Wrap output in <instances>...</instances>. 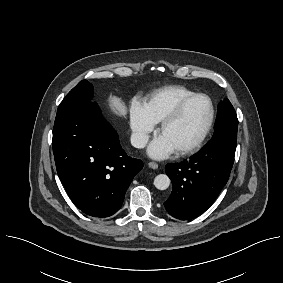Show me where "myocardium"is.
<instances>
[{"instance_id":"obj_1","label":"myocardium","mask_w":283,"mask_h":283,"mask_svg":"<svg viewBox=\"0 0 283 283\" xmlns=\"http://www.w3.org/2000/svg\"><path fill=\"white\" fill-rule=\"evenodd\" d=\"M198 98H206L210 103L211 111H210V117H209L208 123H207L203 133L201 134V136L197 139V141H195L190 146H187L185 148H182V149L176 151V154L178 156L191 155V154L197 152L203 146V144L205 143V141H206L207 137L209 136V134L212 130V127L214 125L215 115H216L215 104H214L212 98L209 95L204 94V93H195V94L185 98L184 100H182L174 108V110L168 116H166L160 123L159 129H158L159 134L161 132H163L169 125H171L176 120H178V118L181 116V114L183 113L185 108L192 101H194Z\"/></svg>"}]
</instances>
